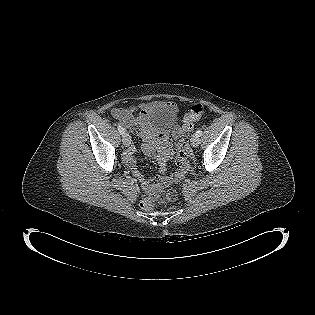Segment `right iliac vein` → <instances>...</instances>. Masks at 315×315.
Returning a JSON list of instances; mask_svg holds the SVG:
<instances>
[{"label":"right iliac vein","instance_id":"right-iliac-vein-1","mask_svg":"<svg viewBox=\"0 0 315 315\" xmlns=\"http://www.w3.org/2000/svg\"><path fill=\"white\" fill-rule=\"evenodd\" d=\"M122 141L125 147H129L132 143L131 137L128 133H124Z\"/></svg>","mask_w":315,"mask_h":315}]
</instances>
